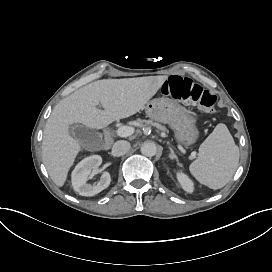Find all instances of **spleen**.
<instances>
[{"label":"spleen","mask_w":272,"mask_h":272,"mask_svg":"<svg viewBox=\"0 0 272 272\" xmlns=\"http://www.w3.org/2000/svg\"><path fill=\"white\" fill-rule=\"evenodd\" d=\"M238 163L239 149L226 125L219 123L200 145L189 172L200 184L220 189L230 181Z\"/></svg>","instance_id":"spleen-1"}]
</instances>
